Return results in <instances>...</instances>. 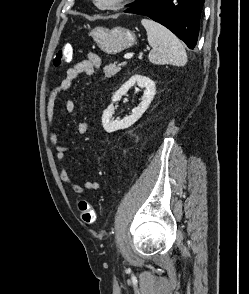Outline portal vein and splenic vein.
I'll use <instances>...</instances> for the list:
<instances>
[{
	"label": "portal vein and splenic vein",
	"instance_id": "obj_1",
	"mask_svg": "<svg viewBox=\"0 0 249 294\" xmlns=\"http://www.w3.org/2000/svg\"><path fill=\"white\" fill-rule=\"evenodd\" d=\"M133 57V53H127L124 55V59H130Z\"/></svg>",
	"mask_w": 249,
	"mask_h": 294
}]
</instances>
